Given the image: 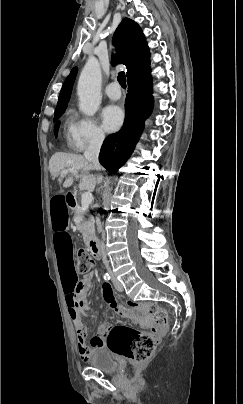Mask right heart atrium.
I'll return each instance as SVG.
<instances>
[{"instance_id": "1", "label": "right heart atrium", "mask_w": 243, "mask_h": 404, "mask_svg": "<svg viewBox=\"0 0 243 404\" xmlns=\"http://www.w3.org/2000/svg\"><path fill=\"white\" fill-rule=\"evenodd\" d=\"M104 141L105 134L94 118L72 112L66 132V144L72 152L80 153L89 148L100 147Z\"/></svg>"}]
</instances>
